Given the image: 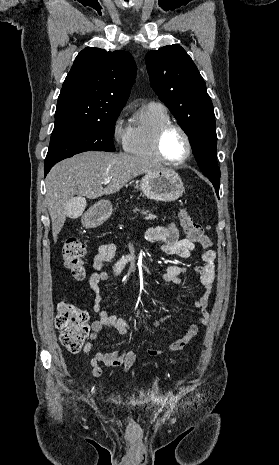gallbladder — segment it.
<instances>
[{
	"instance_id": "bac80fb5",
	"label": "gallbladder",
	"mask_w": 279,
	"mask_h": 465,
	"mask_svg": "<svg viewBox=\"0 0 279 465\" xmlns=\"http://www.w3.org/2000/svg\"><path fill=\"white\" fill-rule=\"evenodd\" d=\"M67 216L70 219H77L84 210V199L82 197H73L67 203Z\"/></svg>"
}]
</instances>
